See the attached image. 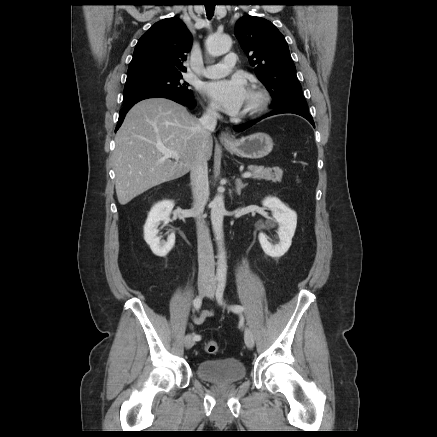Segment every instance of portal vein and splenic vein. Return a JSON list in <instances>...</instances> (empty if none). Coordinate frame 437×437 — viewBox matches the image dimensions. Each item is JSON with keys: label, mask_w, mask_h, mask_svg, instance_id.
<instances>
[{"label": "portal vein and splenic vein", "mask_w": 437, "mask_h": 437, "mask_svg": "<svg viewBox=\"0 0 437 437\" xmlns=\"http://www.w3.org/2000/svg\"><path fill=\"white\" fill-rule=\"evenodd\" d=\"M160 151H161V152L164 154V156L167 157V158H173V159H176V160L179 159V154H178L177 152L171 151V150L166 149V148H164V147H161V148H160ZM251 176H252V173H251V172H245V173L242 174V177H243V178H249V177H251Z\"/></svg>", "instance_id": "portal-vein-and-splenic-vein-1"}]
</instances>
